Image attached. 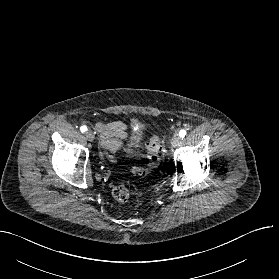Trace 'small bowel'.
Listing matches in <instances>:
<instances>
[{
  "label": "small bowel",
  "instance_id": "obj_1",
  "mask_svg": "<svg viewBox=\"0 0 279 279\" xmlns=\"http://www.w3.org/2000/svg\"><path fill=\"white\" fill-rule=\"evenodd\" d=\"M95 129L99 133L102 148L110 157L124 148V140L129 135V126L125 122H98Z\"/></svg>",
  "mask_w": 279,
  "mask_h": 279
}]
</instances>
